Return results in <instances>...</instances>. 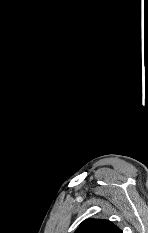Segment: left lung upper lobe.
Masks as SVG:
<instances>
[{"instance_id":"1","label":"left lung upper lobe","mask_w":148,"mask_h":233,"mask_svg":"<svg viewBox=\"0 0 148 233\" xmlns=\"http://www.w3.org/2000/svg\"><path fill=\"white\" fill-rule=\"evenodd\" d=\"M75 233H122V231L108 220L87 219L80 224Z\"/></svg>"}]
</instances>
